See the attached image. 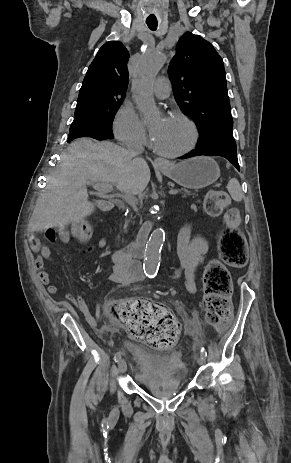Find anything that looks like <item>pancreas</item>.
<instances>
[{
  "label": "pancreas",
  "instance_id": "obj_1",
  "mask_svg": "<svg viewBox=\"0 0 291 463\" xmlns=\"http://www.w3.org/2000/svg\"><path fill=\"white\" fill-rule=\"evenodd\" d=\"M178 192L181 194L182 198H188V197H196L197 194L195 192H191V191H188L187 189H178ZM126 225H127V221H126Z\"/></svg>",
  "mask_w": 291,
  "mask_h": 463
}]
</instances>
